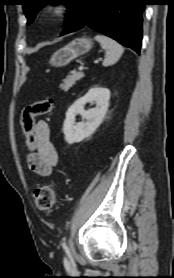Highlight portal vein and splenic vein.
Returning <instances> with one entry per match:
<instances>
[{"label": "portal vein and splenic vein", "instance_id": "1", "mask_svg": "<svg viewBox=\"0 0 174 278\" xmlns=\"http://www.w3.org/2000/svg\"><path fill=\"white\" fill-rule=\"evenodd\" d=\"M99 61H100V59L95 60V61H94V63H98ZM83 69H84V67H83V66H80V67H79V71H82Z\"/></svg>", "mask_w": 174, "mask_h": 278}]
</instances>
